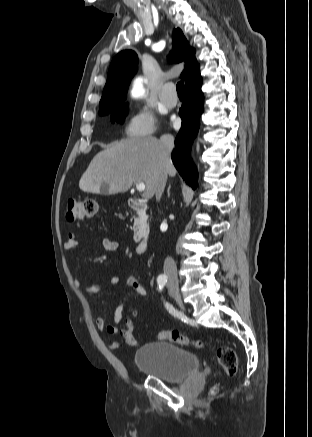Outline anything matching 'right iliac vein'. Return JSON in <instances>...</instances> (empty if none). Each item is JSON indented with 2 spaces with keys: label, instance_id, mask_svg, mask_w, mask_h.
<instances>
[{
  "label": "right iliac vein",
  "instance_id": "obj_1",
  "mask_svg": "<svg viewBox=\"0 0 312 437\" xmlns=\"http://www.w3.org/2000/svg\"><path fill=\"white\" fill-rule=\"evenodd\" d=\"M169 290L171 295L173 296V298L175 299L177 305L179 306V308L181 310H184V305L182 303L179 291H178V285L176 282H173L172 280H170L169 282Z\"/></svg>",
  "mask_w": 312,
  "mask_h": 437
}]
</instances>
